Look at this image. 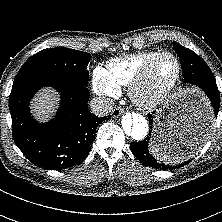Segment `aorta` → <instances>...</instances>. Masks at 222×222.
<instances>
[{"label": "aorta", "instance_id": "obj_1", "mask_svg": "<svg viewBox=\"0 0 222 222\" xmlns=\"http://www.w3.org/2000/svg\"><path fill=\"white\" fill-rule=\"evenodd\" d=\"M121 125L126 138L133 141H142L148 134L147 119L140 113H127L122 117Z\"/></svg>", "mask_w": 222, "mask_h": 222}]
</instances>
